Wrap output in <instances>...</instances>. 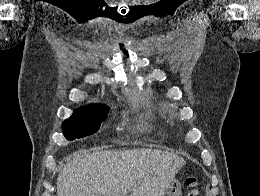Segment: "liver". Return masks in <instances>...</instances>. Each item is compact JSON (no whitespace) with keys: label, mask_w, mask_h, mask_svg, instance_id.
<instances>
[{"label":"liver","mask_w":260,"mask_h":196,"mask_svg":"<svg viewBox=\"0 0 260 196\" xmlns=\"http://www.w3.org/2000/svg\"><path fill=\"white\" fill-rule=\"evenodd\" d=\"M185 160L161 150H79L57 180L58 196H164Z\"/></svg>","instance_id":"6515ba94"}]
</instances>
